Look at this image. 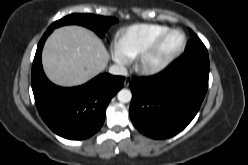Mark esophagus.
I'll return each instance as SVG.
<instances>
[{"label":"esophagus","instance_id":"esophagus-1","mask_svg":"<svg viewBox=\"0 0 248 165\" xmlns=\"http://www.w3.org/2000/svg\"><path fill=\"white\" fill-rule=\"evenodd\" d=\"M132 77L130 75L125 77L124 86L128 87Z\"/></svg>","mask_w":248,"mask_h":165}]
</instances>
